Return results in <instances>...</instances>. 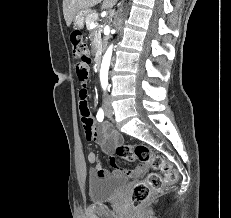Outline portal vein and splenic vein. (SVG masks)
Listing matches in <instances>:
<instances>
[{"instance_id": "portal-vein-and-splenic-vein-1", "label": "portal vein and splenic vein", "mask_w": 231, "mask_h": 218, "mask_svg": "<svg viewBox=\"0 0 231 218\" xmlns=\"http://www.w3.org/2000/svg\"><path fill=\"white\" fill-rule=\"evenodd\" d=\"M97 26V23L96 22H92L91 24H90V28H95Z\"/></svg>"}]
</instances>
